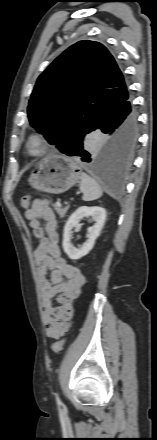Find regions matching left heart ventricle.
I'll use <instances>...</instances> for the list:
<instances>
[{
	"instance_id": "left-heart-ventricle-1",
	"label": "left heart ventricle",
	"mask_w": 157,
	"mask_h": 440,
	"mask_svg": "<svg viewBox=\"0 0 157 440\" xmlns=\"http://www.w3.org/2000/svg\"><path fill=\"white\" fill-rule=\"evenodd\" d=\"M31 148H32L33 151H36V150H38L39 147H38L36 142H33L32 145H31Z\"/></svg>"
}]
</instances>
